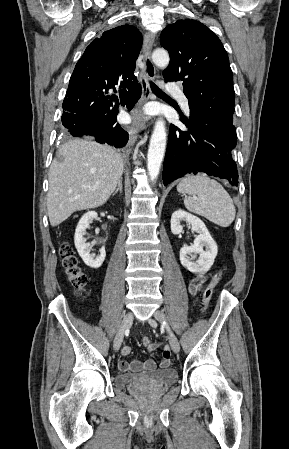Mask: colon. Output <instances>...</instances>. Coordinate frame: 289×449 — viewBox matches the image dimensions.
I'll list each match as a JSON object with an SVG mask.
<instances>
[{
  "label": "colon",
  "mask_w": 289,
  "mask_h": 449,
  "mask_svg": "<svg viewBox=\"0 0 289 449\" xmlns=\"http://www.w3.org/2000/svg\"><path fill=\"white\" fill-rule=\"evenodd\" d=\"M59 253H60L62 268L64 269V272H65L69 282L78 292L84 291V289L87 285V282H88V277L85 274V272L83 271V269L80 265L79 259L76 256L73 248L69 244L64 243L61 246ZM223 275H224V270H220L217 273H215L212 276L207 287L205 288L203 295H202V300H201V307H202L203 311H205L208 308L209 303L212 298V295H213V292H214V289L216 288V286L219 284V282L223 278ZM149 342H150V339L148 337H144L142 339L143 345H147Z\"/></svg>",
  "instance_id": "1"
}]
</instances>
